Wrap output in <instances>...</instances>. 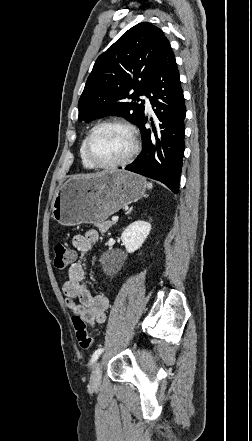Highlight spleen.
Listing matches in <instances>:
<instances>
[{"label":"spleen","mask_w":252,"mask_h":441,"mask_svg":"<svg viewBox=\"0 0 252 441\" xmlns=\"http://www.w3.org/2000/svg\"><path fill=\"white\" fill-rule=\"evenodd\" d=\"M152 187H153L152 183H149V182H148V183H147V188H148V189H152Z\"/></svg>","instance_id":"obj_1"}]
</instances>
